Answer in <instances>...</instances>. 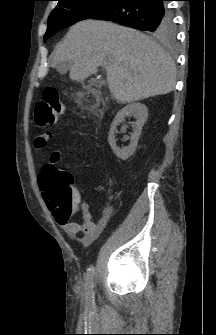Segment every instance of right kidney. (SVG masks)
I'll return each instance as SVG.
<instances>
[{
	"label": "right kidney",
	"mask_w": 216,
	"mask_h": 335,
	"mask_svg": "<svg viewBox=\"0 0 216 335\" xmlns=\"http://www.w3.org/2000/svg\"><path fill=\"white\" fill-rule=\"evenodd\" d=\"M129 116H134L136 118V121L131 123L133 127V134L131 135L130 138V144L127 147L120 149L116 145L114 134L118 124L125 121V118ZM147 117H148V109L144 104L141 103L129 104L117 113L110 128L108 142L111 146L113 153L118 158L126 160L134 153L138 144L139 137L141 135L142 127L147 121Z\"/></svg>",
	"instance_id": "1"
}]
</instances>
